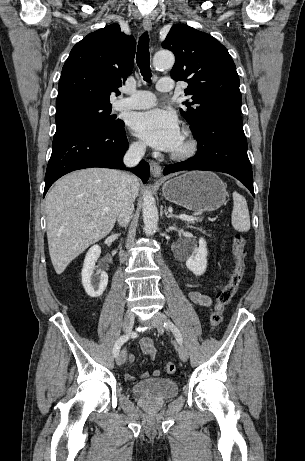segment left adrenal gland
<instances>
[{
  "instance_id": "1",
  "label": "left adrenal gland",
  "mask_w": 305,
  "mask_h": 461,
  "mask_svg": "<svg viewBox=\"0 0 305 461\" xmlns=\"http://www.w3.org/2000/svg\"><path fill=\"white\" fill-rule=\"evenodd\" d=\"M165 216L169 219V218H176L178 219V216L172 214L171 212H168L165 210Z\"/></svg>"
}]
</instances>
